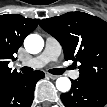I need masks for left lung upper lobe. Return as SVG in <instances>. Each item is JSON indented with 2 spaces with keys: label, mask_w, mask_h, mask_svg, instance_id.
<instances>
[{
  "label": "left lung upper lobe",
  "mask_w": 107,
  "mask_h": 107,
  "mask_svg": "<svg viewBox=\"0 0 107 107\" xmlns=\"http://www.w3.org/2000/svg\"><path fill=\"white\" fill-rule=\"evenodd\" d=\"M40 26L62 45L65 59L80 61L79 79L107 87V23L83 12L44 19Z\"/></svg>",
  "instance_id": "5c2ea615"
}]
</instances>
